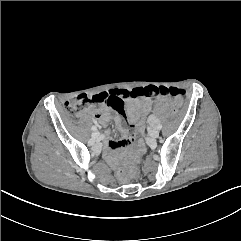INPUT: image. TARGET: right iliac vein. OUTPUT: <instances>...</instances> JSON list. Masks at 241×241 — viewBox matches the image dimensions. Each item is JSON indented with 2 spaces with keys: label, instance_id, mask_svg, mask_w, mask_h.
Instances as JSON below:
<instances>
[{
  "label": "right iliac vein",
  "instance_id": "right-iliac-vein-1",
  "mask_svg": "<svg viewBox=\"0 0 241 241\" xmlns=\"http://www.w3.org/2000/svg\"><path fill=\"white\" fill-rule=\"evenodd\" d=\"M99 136H100V133H99L98 131H94V132L92 133V138H94V139L99 138Z\"/></svg>",
  "mask_w": 241,
  "mask_h": 241
}]
</instances>
